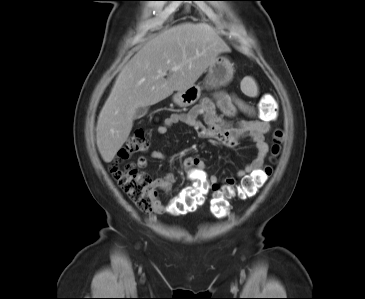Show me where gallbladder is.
<instances>
[{
    "label": "gallbladder",
    "instance_id": "bac80fb5",
    "mask_svg": "<svg viewBox=\"0 0 365 299\" xmlns=\"http://www.w3.org/2000/svg\"><path fill=\"white\" fill-rule=\"evenodd\" d=\"M148 112V107H139L137 108L135 114H134V119H140L143 116H145Z\"/></svg>",
    "mask_w": 365,
    "mask_h": 299
}]
</instances>
